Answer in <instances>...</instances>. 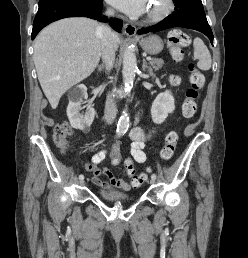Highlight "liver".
<instances>
[{"label":"liver","mask_w":248,"mask_h":258,"mask_svg":"<svg viewBox=\"0 0 248 258\" xmlns=\"http://www.w3.org/2000/svg\"><path fill=\"white\" fill-rule=\"evenodd\" d=\"M101 40V25L83 17L56 21L38 34L33 60L52 109L57 108L68 89L95 70L101 56ZM119 43V35L113 33L115 50Z\"/></svg>","instance_id":"liver-1"}]
</instances>
